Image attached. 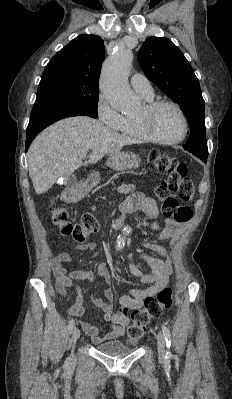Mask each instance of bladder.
Listing matches in <instances>:
<instances>
[{
    "label": "bladder",
    "mask_w": 232,
    "mask_h": 399,
    "mask_svg": "<svg viewBox=\"0 0 232 399\" xmlns=\"http://www.w3.org/2000/svg\"><path fill=\"white\" fill-rule=\"evenodd\" d=\"M96 350L101 354L111 357H123L133 353L134 349L119 340L101 343L96 346Z\"/></svg>",
    "instance_id": "1"
}]
</instances>
